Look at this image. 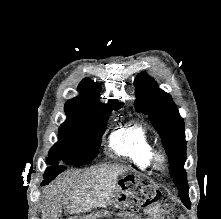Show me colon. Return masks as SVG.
Segmentation results:
<instances>
[{
  "label": "colon",
  "instance_id": "obj_1",
  "mask_svg": "<svg viewBox=\"0 0 221 219\" xmlns=\"http://www.w3.org/2000/svg\"><path fill=\"white\" fill-rule=\"evenodd\" d=\"M122 191L136 197L139 207H148L154 202V188L147 184L129 180L123 183Z\"/></svg>",
  "mask_w": 221,
  "mask_h": 219
}]
</instances>
